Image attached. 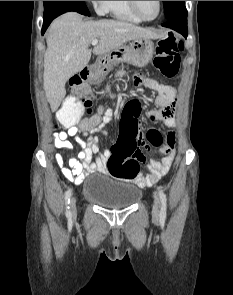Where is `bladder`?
Segmentation results:
<instances>
[{
    "mask_svg": "<svg viewBox=\"0 0 233 295\" xmlns=\"http://www.w3.org/2000/svg\"><path fill=\"white\" fill-rule=\"evenodd\" d=\"M86 200L109 209H124L135 205L142 197L136 185L104 175H92L83 184Z\"/></svg>",
    "mask_w": 233,
    "mask_h": 295,
    "instance_id": "1",
    "label": "bladder"
}]
</instances>
